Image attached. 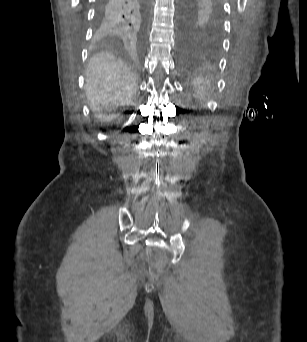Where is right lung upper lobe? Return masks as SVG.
Returning a JSON list of instances; mask_svg holds the SVG:
<instances>
[{
	"label": "right lung upper lobe",
	"instance_id": "cb5924a9",
	"mask_svg": "<svg viewBox=\"0 0 307 342\" xmlns=\"http://www.w3.org/2000/svg\"><path fill=\"white\" fill-rule=\"evenodd\" d=\"M148 0H100V32L108 38L134 37L146 23Z\"/></svg>",
	"mask_w": 307,
	"mask_h": 342
}]
</instances>
